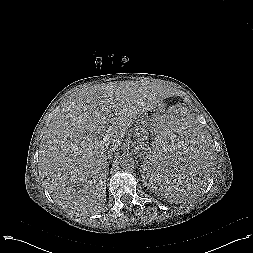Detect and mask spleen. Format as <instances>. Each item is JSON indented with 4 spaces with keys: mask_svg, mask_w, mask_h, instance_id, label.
I'll use <instances>...</instances> for the list:
<instances>
[{
    "mask_svg": "<svg viewBox=\"0 0 253 253\" xmlns=\"http://www.w3.org/2000/svg\"><path fill=\"white\" fill-rule=\"evenodd\" d=\"M214 144L188 112L167 113L148 146L142 173L146 182L171 202L194 198L211 178Z\"/></svg>",
    "mask_w": 253,
    "mask_h": 253,
    "instance_id": "obj_1",
    "label": "spleen"
}]
</instances>
